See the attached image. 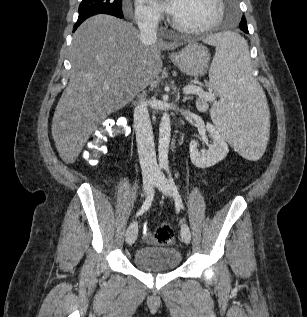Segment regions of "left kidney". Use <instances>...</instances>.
<instances>
[{"mask_svg":"<svg viewBox=\"0 0 307 317\" xmlns=\"http://www.w3.org/2000/svg\"><path fill=\"white\" fill-rule=\"evenodd\" d=\"M206 130L212 139L208 150H199L198 142L192 140L189 145L190 158L192 163L200 168H206L215 165L223 160L229 152L228 144L225 139L219 134L216 128L207 123Z\"/></svg>","mask_w":307,"mask_h":317,"instance_id":"left-kidney-1","label":"left kidney"}]
</instances>
